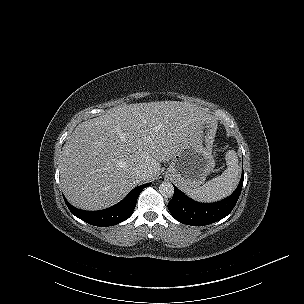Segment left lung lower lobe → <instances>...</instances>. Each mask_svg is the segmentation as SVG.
<instances>
[{
	"label": "left lung lower lobe",
	"mask_w": 304,
	"mask_h": 304,
	"mask_svg": "<svg viewBox=\"0 0 304 304\" xmlns=\"http://www.w3.org/2000/svg\"><path fill=\"white\" fill-rule=\"evenodd\" d=\"M243 180L244 172L242 171L241 180L233 194L215 203L193 201L174 186V196L168 203L169 211L176 220L187 225L203 226L219 221L230 214L235 207L242 190Z\"/></svg>",
	"instance_id": "left-lung-lower-lobe-1"
}]
</instances>
